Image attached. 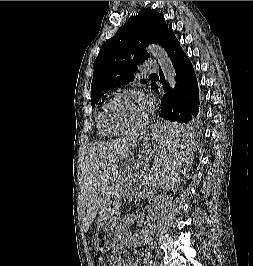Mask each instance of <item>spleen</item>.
Wrapping results in <instances>:
<instances>
[{
    "mask_svg": "<svg viewBox=\"0 0 253 266\" xmlns=\"http://www.w3.org/2000/svg\"><path fill=\"white\" fill-rule=\"evenodd\" d=\"M159 132H171V138H162L161 150L156 151L157 160H149L148 178L140 179L141 187H179L183 169H189L192 154L196 148L192 123H159Z\"/></svg>",
    "mask_w": 253,
    "mask_h": 266,
    "instance_id": "1",
    "label": "spleen"
}]
</instances>
